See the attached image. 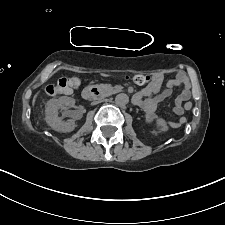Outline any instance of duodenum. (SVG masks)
<instances>
[{
  "mask_svg": "<svg viewBox=\"0 0 225 225\" xmlns=\"http://www.w3.org/2000/svg\"><path fill=\"white\" fill-rule=\"evenodd\" d=\"M98 95H100V92L96 88H93V87H86L82 92V96L86 100L95 98Z\"/></svg>",
  "mask_w": 225,
  "mask_h": 225,
  "instance_id": "410a0bca",
  "label": "duodenum"
}]
</instances>
